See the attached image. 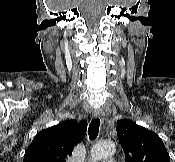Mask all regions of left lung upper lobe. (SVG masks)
<instances>
[{
    "label": "left lung upper lobe",
    "instance_id": "5c2ea615",
    "mask_svg": "<svg viewBox=\"0 0 175 162\" xmlns=\"http://www.w3.org/2000/svg\"><path fill=\"white\" fill-rule=\"evenodd\" d=\"M116 131L126 162H170L163 141L153 131L128 119L119 120Z\"/></svg>",
    "mask_w": 175,
    "mask_h": 162
}]
</instances>
